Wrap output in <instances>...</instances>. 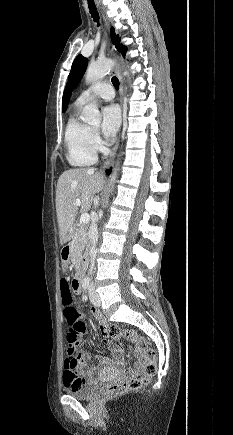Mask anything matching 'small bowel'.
<instances>
[{
  "label": "small bowel",
  "instance_id": "c3829d8e",
  "mask_svg": "<svg viewBox=\"0 0 233 435\" xmlns=\"http://www.w3.org/2000/svg\"><path fill=\"white\" fill-rule=\"evenodd\" d=\"M82 283H78L76 279L71 282L67 279H62L59 284V296L61 300L71 294V292L78 293L81 290ZM93 318L99 322V330L103 337L104 344L110 351L111 355L115 359L112 362L108 357L97 355L91 357L86 352H80L76 356H70L66 354L63 363V385L67 389H75L82 384L92 382L96 375H105L113 371H121L122 364V352L121 350L112 342L109 336V325L103 319L102 313L99 310H94L92 312ZM88 324L84 322L79 316L78 319L70 325V330L68 331L66 338L67 341H72V343L77 347L80 344V338L85 332ZM143 349L141 346H136L132 352L133 358L135 360V366L130 370L131 373L139 374L143 368L142 359ZM93 359L96 365H89L88 361Z\"/></svg>",
  "mask_w": 233,
  "mask_h": 435
}]
</instances>
